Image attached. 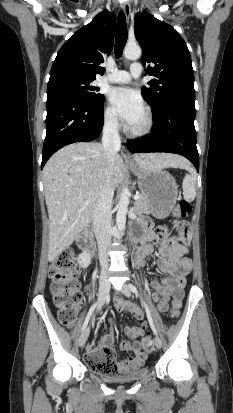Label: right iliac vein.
I'll return each mask as SVG.
<instances>
[{
    "label": "right iliac vein",
    "instance_id": "1",
    "mask_svg": "<svg viewBox=\"0 0 233 413\" xmlns=\"http://www.w3.org/2000/svg\"><path fill=\"white\" fill-rule=\"evenodd\" d=\"M109 290H110L109 281L106 278L102 279L101 282H100V287H99V305H98V309H100L102 304L104 303L105 298L109 293ZM89 332H90V329L88 327L81 334V336L79 338V346L80 347H82L85 344V342L87 341L88 336H89Z\"/></svg>",
    "mask_w": 233,
    "mask_h": 413
}]
</instances>
